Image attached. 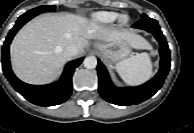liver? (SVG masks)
<instances>
[{
  "label": "liver",
  "instance_id": "1",
  "mask_svg": "<svg viewBox=\"0 0 194 133\" xmlns=\"http://www.w3.org/2000/svg\"><path fill=\"white\" fill-rule=\"evenodd\" d=\"M90 39L106 42L126 41L135 49H151L140 35L106 27L73 14H47L24 25L10 46L12 68L16 76L29 84L43 85L54 81L68 60L66 46L84 52Z\"/></svg>",
  "mask_w": 194,
  "mask_h": 133
}]
</instances>
